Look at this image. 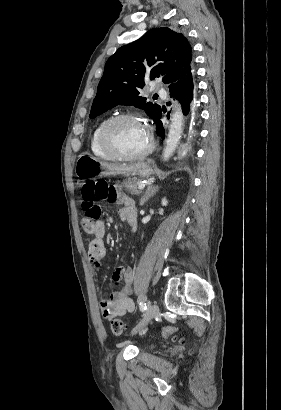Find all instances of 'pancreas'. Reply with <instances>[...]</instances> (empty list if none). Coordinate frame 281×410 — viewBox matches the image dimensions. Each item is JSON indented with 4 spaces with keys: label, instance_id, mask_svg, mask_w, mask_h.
Wrapping results in <instances>:
<instances>
[{
    "label": "pancreas",
    "instance_id": "obj_1",
    "mask_svg": "<svg viewBox=\"0 0 281 410\" xmlns=\"http://www.w3.org/2000/svg\"><path fill=\"white\" fill-rule=\"evenodd\" d=\"M139 184V180L136 178H129L123 181V187L132 195H138L142 192L140 189H138Z\"/></svg>",
    "mask_w": 281,
    "mask_h": 410
}]
</instances>
